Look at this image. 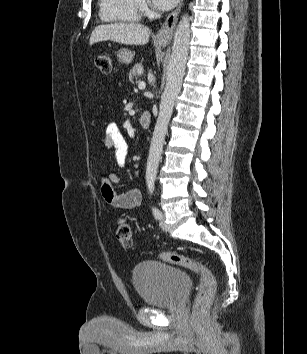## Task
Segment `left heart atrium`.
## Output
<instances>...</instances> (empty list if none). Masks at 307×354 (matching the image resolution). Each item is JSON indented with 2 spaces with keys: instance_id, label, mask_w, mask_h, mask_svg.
Wrapping results in <instances>:
<instances>
[{
  "instance_id": "obj_1",
  "label": "left heart atrium",
  "mask_w": 307,
  "mask_h": 354,
  "mask_svg": "<svg viewBox=\"0 0 307 354\" xmlns=\"http://www.w3.org/2000/svg\"><path fill=\"white\" fill-rule=\"evenodd\" d=\"M178 0H152V3L155 7L162 9V10H168L172 8Z\"/></svg>"
}]
</instances>
